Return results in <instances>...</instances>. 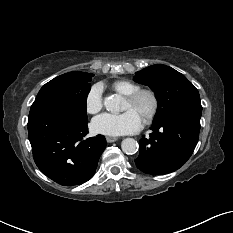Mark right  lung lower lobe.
Listing matches in <instances>:
<instances>
[{"mask_svg":"<svg viewBox=\"0 0 233 233\" xmlns=\"http://www.w3.org/2000/svg\"><path fill=\"white\" fill-rule=\"evenodd\" d=\"M28 133L37 167L64 186L88 181L106 147L102 135L85 138L87 120L63 111H42L30 117Z\"/></svg>","mask_w":233,"mask_h":233,"instance_id":"obj_1","label":"right lung lower lobe"}]
</instances>
